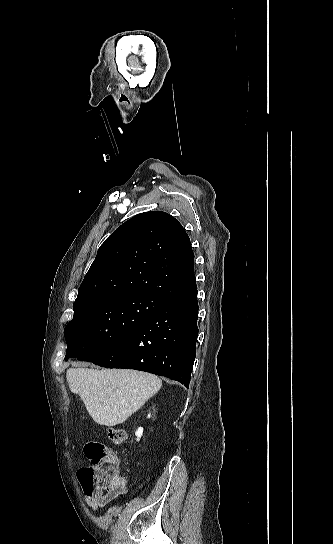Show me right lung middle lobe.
<instances>
[{
  "label": "right lung middle lobe",
  "instance_id": "obj_1",
  "mask_svg": "<svg viewBox=\"0 0 333 544\" xmlns=\"http://www.w3.org/2000/svg\"><path fill=\"white\" fill-rule=\"evenodd\" d=\"M167 301L132 293L96 297L73 304L74 317L64 330L65 360H78L134 332Z\"/></svg>",
  "mask_w": 333,
  "mask_h": 544
}]
</instances>
